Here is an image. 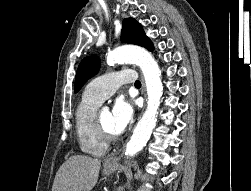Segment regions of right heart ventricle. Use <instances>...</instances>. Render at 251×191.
<instances>
[{"label": "right heart ventricle", "instance_id": "right-heart-ventricle-1", "mask_svg": "<svg viewBox=\"0 0 251 191\" xmlns=\"http://www.w3.org/2000/svg\"><path fill=\"white\" fill-rule=\"evenodd\" d=\"M100 103L99 100L82 96L75 109V135L79 150L93 157L104 156L108 149L107 143L99 134L95 121V111Z\"/></svg>", "mask_w": 251, "mask_h": 191}]
</instances>
